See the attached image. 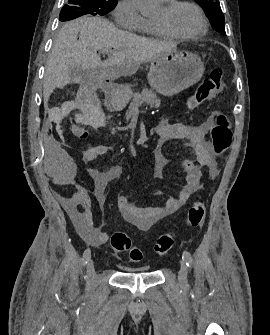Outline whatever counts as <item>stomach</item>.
I'll list each match as a JSON object with an SVG mask.
<instances>
[{"mask_svg":"<svg viewBox=\"0 0 270 335\" xmlns=\"http://www.w3.org/2000/svg\"><path fill=\"white\" fill-rule=\"evenodd\" d=\"M148 82L162 96H175L190 86L197 84L205 72L200 56L182 50V52H164L150 60ZM126 100L132 96L131 90L125 88Z\"/></svg>","mask_w":270,"mask_h":335,"instance_id":"stomach-1","label":"stomach"}]
</instances>
